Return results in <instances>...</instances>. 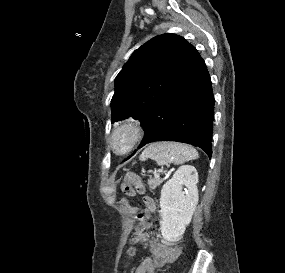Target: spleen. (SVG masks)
Masks as SVG:
<instances>
[{"label":"spleen","mask_w":285,"mask_h":273,"mask_svg":"<svg viewBox=\"0 0 285 273\" xmlns=\"http://www.w3.org/2000/svg\"><path fill=\"white\" fill-rule=\"evenodd\" d=\"M198 152L190 145L177 142H158L149 145L141 154L140 160H154L159 166L172 162L176 165L197 159Z\"/></svg>","instance_id":"spleen-1"}]
</instances>
